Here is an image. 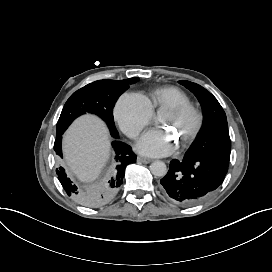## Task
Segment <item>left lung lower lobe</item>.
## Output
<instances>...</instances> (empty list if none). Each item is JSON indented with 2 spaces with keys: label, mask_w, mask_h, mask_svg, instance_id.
Returning a JSON list of instances; mask_svg holds the SVG:
<instances>
[{
  "label": "left lung lower lobe",
  "mask_w": 272,
  "mask_h": 272,
  "mask_svg": "<svg viewBox=\"0 0 272 272\" xmlns=\"http://www.w3.org/2000/svg\"><path fill=\"white\" fill-rule=\"evenodd\" d=\"M229 160L216 155L185 156L173 160L168 173L160 180L161 193L179 206H191L222 184Z\"/></svg>",
  "instance_id": "obj_1"
}]
</instances>
